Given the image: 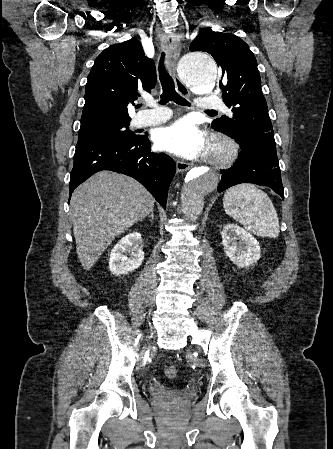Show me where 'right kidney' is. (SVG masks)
<instances>
[{
  "label": "right kidney",
  "instance_id": "right-kidney-1",
  "mask_svg": "<svg viewBox=\"0 0 333 449\" xmlns=\"http://www.w3.org/2000/svg\"><path fill=\"white\" fill-rule=\"evenodd\" d=\"M144 260L142 238L139 232L123 237L111 250L109 269L117 276L138 269Z\"/></svg>",
  "mask_w": 333,
  "mask_h": 449
}]
</instances>
